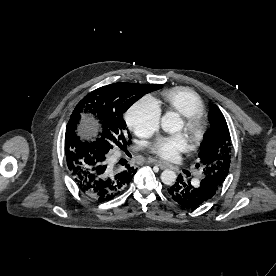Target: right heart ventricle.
Returning a JSON list of instances; mask_svg holds the SVG:
<instances>
[{
  "mask_svg": "<svg viewBox=\"0 0 276 276\" xmlns=\"http://www.w3.org/2000/svg\"><path fill=\"white\" fill-rule=\"evenodd\" d=\"M163 100L170 110L182 116L202 114L204 104L202 99L187 88H174L162 93Z\"/></svg>",
  "mask_w": 276,
  "mask_h": 276,
  "instance_id": "e07e8e85",
  "label": "right heart ventricle"
}]
</instances>
